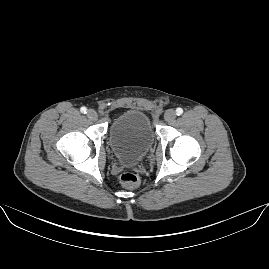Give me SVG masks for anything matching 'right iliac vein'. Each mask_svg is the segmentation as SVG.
<instances>
[{
  "instance_id": "63e3f726",
  "label": "right iliac vein",
  "mask_w": 269,
  "mask_h": 269,
  "mask_svg": "<svg viewBox=\"0 0 269 269\" xmlns=\"http://www.w3.org/2000/svg\"><path fill=\"white\" fill-rule=\"evenodd\" d=\"M87 117H88L89 120L94 121V120H97L98 114H97V112L95 110L90 109L87 112Z\"/></svg>"
}]
</instances>
